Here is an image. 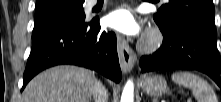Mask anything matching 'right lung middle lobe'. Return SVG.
I'll return each mask as SVG.
<instances>
[{"label":"right lung middle lobe","instance_id":"1","mask_svg":"<svg viewBox=\"0 0 221 102\" xmlns=\"http://www.w3.org/2000/svg\"><path fill=\"white\" fill-rule=\"evenodd\" d=\"M83 4L84 0H48L36 8L32 41L59 25L85 20Z\"/></svg>","mask_w":221,"mask_h":102}]
</instances>
